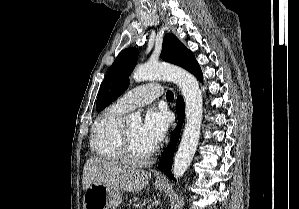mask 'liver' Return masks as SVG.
<instances>
[{
	"label": "liver",
	"mask_w": 299,
	"mask_h": 209,
	"mask_svg": "<svg viewBox=\"0 0 299 209\" xmlns=\"http://www.w3.org/2000/svg\"><path fill=\"white\" fill-rule=\"evenodd\" d=\"M149 179L148 171L91 157L84 166L82 184L84 190L93 183H99L127 192H137L148 184Z\"/></svg>",
	"instance_id": "liver-1"
}]
</instances>
